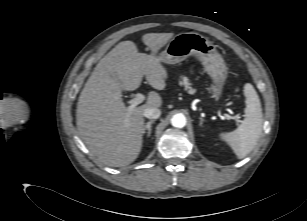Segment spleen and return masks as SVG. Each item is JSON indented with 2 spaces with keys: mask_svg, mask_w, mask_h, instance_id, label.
Instances as JSON below:
<instances>
[{
  "mask_svg": "<svg viewBox=\"0 0 307 221\" xmlns=\"http://www.w3.org/2000/svg\"><path fill=\"white\" fill-rule=\"evenodd\" d=\"M246 97L245 118L232 132L220 134V138L231 146L237 158L246 157L257 145L263 123V114L259 96L254 87L247 83L244 86Z\"/></svg>",
  "mask_w": 307,
  "mask_h": 221,
  "instance_id": "obj_1",
  "label": "spleen"
}]
</instances>
